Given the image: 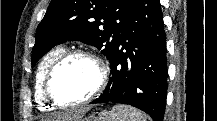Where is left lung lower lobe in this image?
<instances>
[{"label":"left lung lower lobe","mask_w":217,"mask_h":121,"mask_svg":"<svg viewBox=\"0 0 217 121\" xmlns=\"http://www.w3.org/2000/svg\"><path fill=\"white\" fill-rule=\"evenodd\" d=\"M109 61V82L91 103L129 104L163 121L168 71L159 0L136 1Z\"/></svg>","instance_id":"1"}]
</instances>
